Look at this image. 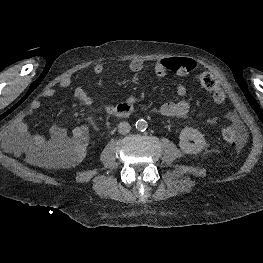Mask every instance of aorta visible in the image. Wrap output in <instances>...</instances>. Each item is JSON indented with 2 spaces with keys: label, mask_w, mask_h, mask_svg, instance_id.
<instances>
[{
  "label": "aorta",
  "mask_w": 263,
  "mask_h": 263,
  "mask_svg": "<svg viewBox=\"0 0 263 263\" xmlns=\"http://www.w3.org/2000/svg\"><path fill=\"white\" fill-rule=\"evenodd\" d=\"M135 128L137 131L144 132L148 128V123L144 119H139L135 123Z\"/></svg>",
  "instance_id": "762f6f07"
}]
</instances>
